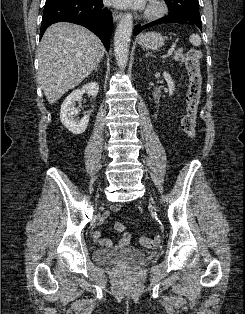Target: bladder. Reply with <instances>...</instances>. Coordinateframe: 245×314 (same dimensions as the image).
<instances>
[{"instance_id": "obj_1", "label": "bladder", "mask_w": 245, "mask_h": 314, "mask_svg": "<svg viewBox=\"0 0 245 314\" xmlns=\"http://www.w3.org/2000/svg\"><path fill=\"white\" fill-rule=\"evenodd\" d=\"M148 258L145 251L124 248V249H98L95 252V259L98 263L108 264L117 260H125L129 262H142Z\"/></svg>"}]
</instances>
